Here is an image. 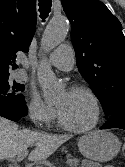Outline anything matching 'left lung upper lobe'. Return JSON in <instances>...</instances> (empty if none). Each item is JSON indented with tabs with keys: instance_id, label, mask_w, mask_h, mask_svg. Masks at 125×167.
I'll return each instance as SVG.
<instances>
[{
	"instance_id": "left-lung-upper-lobe-1",
	"label": "left lung upper lobe",
	"mask_w": 125,
	"mask_h": 167,
	"mask_svg": "<svg viewBox=\"0 0 125 167\" xmlns=\"http://www.w3.org/2000/svg\"><path fill=\"white\" fill-rule=\"evenodd\" d=\"M71 23L77 67L95 90L105 118L125 110V37L120 21L98 0H61Z\"/></svg>"
}]
</instances>
